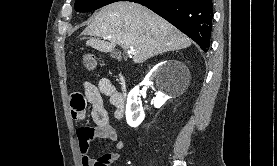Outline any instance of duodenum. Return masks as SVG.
I'll list each match as a JSON object with an SVG mask.
<instances>
[{"instance_id":"1","label":"duodenum","mask_w":277,"mask_h":166,"mask_svg":"<svg viewBox=\"0 0 277 166\" xmlns=\"http://www.w3.org/2000/svg\"><path fill=\"white\" fill-rule=\"evenodd\" d=\"M121 91L119 92L121 108L124 110L126 96H127V84L123 77L120 78Z\"/></svg>"}]
</instances>
